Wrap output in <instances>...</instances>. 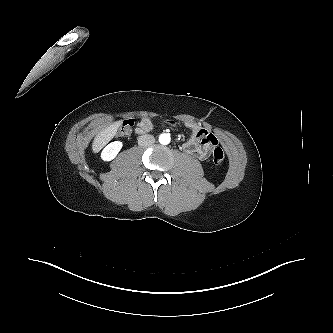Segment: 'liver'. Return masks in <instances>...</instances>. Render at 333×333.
Here are the masks:
<instances>
[{
    "label": "liver",
    "mask_w": 333,
    "mask_h": 333,
    "mask_svg": "<svg viewBox=\"0 0 333 333\" xmlns=\"http://www.w3.org/2000/svg\"><path fill=\"white\" fill-rule=\"evenodd\" d=\"M120 125L121 121H117L103 129L93 141V151L98 152L103 146H105L115 136Z\"/></svg>",
    "instance_id": "6515ba94"
}]
</instances>
